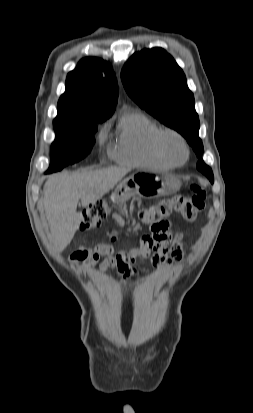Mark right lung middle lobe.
Masks as SVG:
<instances>
[{"label":"right lung middle lobe","instance_id":"obj_1","mask_svg":"<svg viewBox=\"0 0 253 413\" xmlns=\"http://www.w3.org/2000/svg\"><path fill=\"white\" fill-rule=\"evenodd\" d=\"M107 118H56V139L51 146L50 166L46 173L61 170L87 156L95 142L96 123Z\"/></svg>","mask_w":253,"mask_h":413}]
</instances>
